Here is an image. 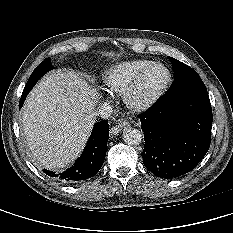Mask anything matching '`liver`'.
Instances as JSON below:
<instances>
[{
    "label": "liver",
    "mask_w": 233,
    "mask_h": 233,
    "mask_svg": "<svg viewBox=\"0 0 233 233\" xmlns=\"http://www.w3.org/2000/svg\"><path fill=\"white\" fill-rule=\"evenodd\" d=\"M99 97L75 71L46 74L22 110V126L32 160L57 170L75 161L94 125Z\"/></svg>",
    "instance_id": "1"
}]
</instances>
